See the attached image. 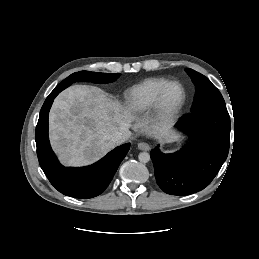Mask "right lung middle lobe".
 <instances>
[{
  "mask_svg": "<svg viewBox=\"0 0 259 259\" xmlns=\"http://www.w3.org/2000/svg\"><path fill=\"white\" fill-rule=\"evenodd\" d=\"M120 76L119 73H98V72H89V71H80L71 74L69 77L64 79L59 83L55 89L64 90L72 83L77 81H86L93 83H110L115 81Z\"/></svg>",
  "mask_w": 259,
  "mask_h": 259,
  "instance_id": "dd1d6c3e",
  "label": "right lung middle lobe"
}]
</instances>
